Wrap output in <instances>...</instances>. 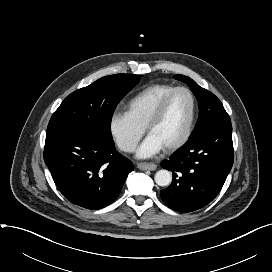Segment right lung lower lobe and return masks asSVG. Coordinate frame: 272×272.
Wrapping results in <instances>:
<instances>
[{
    "mask_svg": "<svg viewBox=\"0 0 272 272\" xmlns=\"http://www.w3.org/2000/svg\"><path fill=\"white\" fill-rule=\"evenodd\" d=\"M44 161L60 192L72 203L101 209L112 203L133 170L130 160L91 130L46 138Z\"/></svg>",
    "mask_w": 272,
    "mask_h": 272,
    "instance_id": "1",
    "label": "right lung lower lobe"
}]
</instances>
